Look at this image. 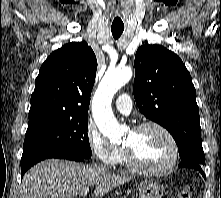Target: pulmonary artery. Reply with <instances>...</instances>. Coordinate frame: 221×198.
<instances>
[{"mask_svg": "<svg viewBox=\"0 0 221 198\" xmlns=\"http://www.w3.org/2000/svg\"><path fill=\"white\" fill-rule=\"evenodd\" d=\"M115 105L120 113L124 115L130 114L132 109V101L128 94H121L120 96H118Z\"/></svg>", "mask_w": 221, "mask_h": 198, "instance_id": "1", "label": "pulmonary artery"}]
</instances>
